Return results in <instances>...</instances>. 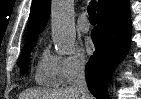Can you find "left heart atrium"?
I'll return each instance as SVG.
<instances>
[{
  "mask_svg": "<svg viewBox=\"0 0 141 99\" xmlns=\"http://www.w3.org/2000/svg\"><path fill=\"white\" fill-rule=\"evenodd\" d=\"M85 48H86V51L88 52V53H91L92 52V50H93V43H92V41L91 40H86V42H85Z\"/></svg>",
  "mask_w": 141,
  "mask_h": 99,
  "instance_id": "39dd6f15",
  "label": "left heart atrium"
}]
</instances>
